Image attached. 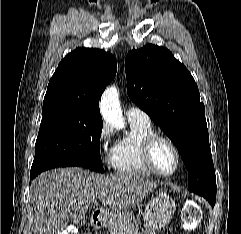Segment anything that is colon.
<instances>
[{
    "label": "colon",
    "instance_id": "obj_1",
    "mask_svg": "<svg viewBox=\"0 0 241 234\" xmlns=\"http://www.w3.org/2000/svg\"><path fill=\"white\" fill-rule=\"evenodd\" d=\"M202 211L195 203L188 204L182 212V225L186 230L194 229L200 222ZM66 234H76L73 227H69Z\"/></svg>",
    "mask_w": 241,
    "mask_h": 234
}]
</instances>
